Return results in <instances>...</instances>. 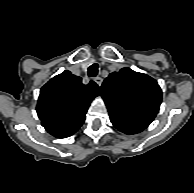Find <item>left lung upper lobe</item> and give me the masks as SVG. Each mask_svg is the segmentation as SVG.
Listing matches in <instances>:
<instances>
[{
    "label": "left lung upper lobe",
    "mask_w": 194,
    "mask_h": 193,
    "mask_svg": "<svg viewBox=\"0 0 194 193\" xmlns=\"http://www.w3.org/2000/svg\"><path fill=\"white\" fill-rule=\"evenodd\" d=\"M101 91L110 117L144 128L157 115L162 99L156 80L130 68L111 73L104 80Z\"/></svg>",
    "instance_id": "1"
}]
</instances>
